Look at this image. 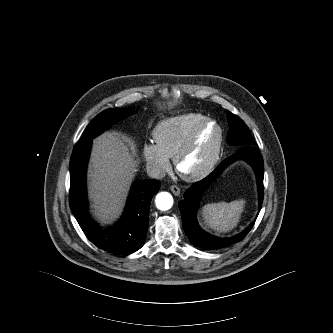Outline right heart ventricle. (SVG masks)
I'll list each match as a JSON object with an SVG mask.
<instances>
[{
    "label": "right heart ventricle",
    "instance_id": "obj_1",
    "mask_svg": "<svg viewBox=\"0 0 333 333\" xmlns=\"http://www.w3.org/2000/svg\"><path fill=\"white\" fill-rule=\"evenodd\" d=\"M207 116L187 113L161 121L153 130V139L158 149L168 158H174L189 139L195 128Z\"/></svg>",
    "mask_w": 333,
    "mask_h": 333
}]
</instances>
